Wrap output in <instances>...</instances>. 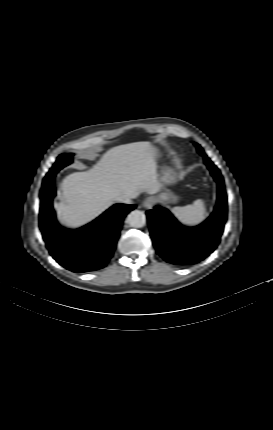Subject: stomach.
I'll return each instance as SVG.
<instances>
[{
	"instance_id": "0dacf381",
	"label": "stomach",
	"mask_w": 273,
	"mask_h": 430,
	"mask_svg": "<svg viewBox=\"0 0 273 430\" xmlns=\"http://www.w3.org/2000/svg\"><path fill=\"white\" fill-rule=\"evenodd\" d=\"M154 158L158 157V153L153 150ZM176 181L175 173L171 168H165L162 171L161 182L164 184H173ZM157 200L168 203H176L177 197L168 192V193H160L157 197Z\"/></svg>"
}]
</instances>
